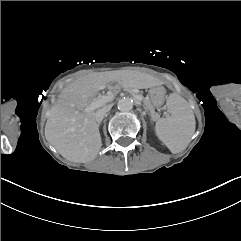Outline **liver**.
I'll use <instances>...</instances> for the list:
<instances>
[{"label":"liver","mask_w":241,"mask_h":241,"mask_svg":"<svg viewBox=\"0 0 241 241\" xmlns=\"http://www.w3.org/2000/svg\"><path fill=\"white\" fill-rule=\"evenodd\" d=\"M125 79L123 73L106 71L83 76L60 93L45 126L46 140L67 160L86 163L102 147L95 110H87L98 91ZM149 79L146 86H154Z\"/></svg>","instance_id":"1"}]
</instances>
